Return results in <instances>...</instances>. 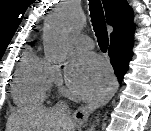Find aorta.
I'll list each match as a JSON object with an SVG mask.
<instances>
[{"mask_svg": "<svg viewBox=\"0 0 151 131\" xmlns=\"http://www.w3.org/2000/svg\"><path fill=\"white\" fill-rule=\"evenodd\" d=\"M79 27L77 13L71 6L50 17L45 27V54L52 61L62 60L67 51V37ZM100 121L99 116L95 122Z\"/></svg>", "mask_w": 151, "mask_h": 131, "instance_id": "762f6f07", "label": "aorta"}]
</instances>
